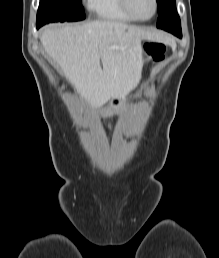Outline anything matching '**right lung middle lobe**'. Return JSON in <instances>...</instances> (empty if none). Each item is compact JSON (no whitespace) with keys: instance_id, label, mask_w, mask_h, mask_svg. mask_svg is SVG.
<instances>
[{"instance_id":"right-lung-middle-lobe-1","label":"right lung middle lobe","mask_w":219,"mask_h":258,"mask_svg":"<svg viewBox=\"0 0 219 258\" xmlns=\"http://www.w3.org/2000/svg\"><path fill=\"white\" fill-rule=\"evenodd\" d=\"M85 19L81 0H40L36 25Z\"/></svg>"}]
</instances>
